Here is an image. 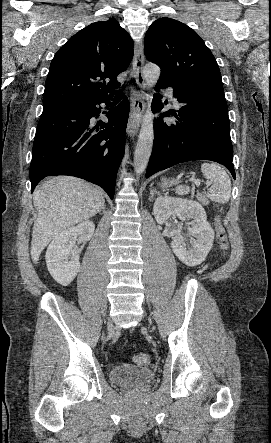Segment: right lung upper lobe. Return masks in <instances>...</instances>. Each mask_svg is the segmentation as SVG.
Listing matches in <instances>:
<instances>
[{"mask_svg": "<svg viewBox=\"0 0 271 443\" xmlns=\"http://www.w3.org/2000/svg\"><path fill=\"white\" fill-rule=\"evenodd\" d=\"M133 52V40L114 18L90 24L55 54L43 105L110 98L121 85L117 76L127 69Z\"/></svg>", "mask_w": 271, "mask_h": 443, "instance_id": "right-lung-upper-lobe-1", "label": "right lung upper lobe"}]
</instances>
